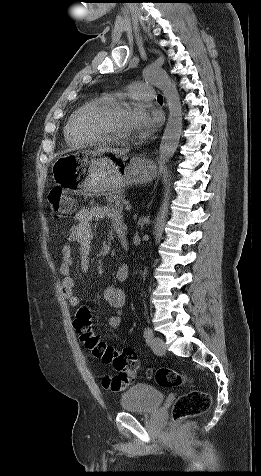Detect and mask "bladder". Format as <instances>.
I'll return each mask as SVG.
<instances>
[{"label": "bladder", "mask_w": 261, "mask_h": 476, "mask_svg": "<svg viewBox=\"0 0 261 476\" xmlns=\"http://www.w3.org/2000/svg\"><path fill=\"white\" fill-rule=\"evenodd\" d=\"M164 401V393L148 384H135L122 393L120 407L130 413L150 414Z\"/></svg>", "instance_id": "obj_1"}]
</instances>
